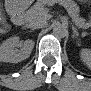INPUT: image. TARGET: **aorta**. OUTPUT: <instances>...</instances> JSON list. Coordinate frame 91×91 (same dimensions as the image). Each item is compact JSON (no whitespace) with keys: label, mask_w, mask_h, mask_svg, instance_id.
Listing matches in <instances>:
<instances>
[{"label":"aorta","mask_w":91,"mask_h":91,"mask_svg":"<svg viewBox=\"0 0 91 91\" xmlns=\"http://www.w3.org/2000/svg\"><path fill=\"white\" fill-rule=\"evenodd\" d=\"M68 33L67 27L59 22L53 25V34L58 38H64Z\"/></svg>","instance_id":"obj_1"}]
</instances>
